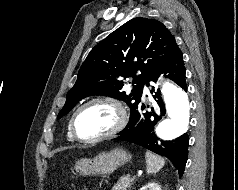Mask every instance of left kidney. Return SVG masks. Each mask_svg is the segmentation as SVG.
<instances>
[{"mask_svg":"<svg viewBox=\"0 0 238 190\" xmlns=\"http://www.w3.org/2000/svg\"><path fill=\"white\" fill-rule=\"evenodd\" d=\"M139 190H161V187L158 183H148L141 187Z\"/></svg>","mask_w":238,"mask_h":190,"instance_id":"5707ae66","label":"left kidney"}]
</instances>
